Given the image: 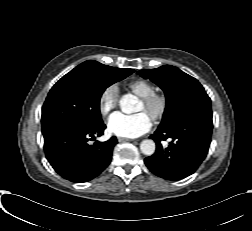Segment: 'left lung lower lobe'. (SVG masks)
<instances>
[{
	"label": "left lung lower lobe",
	"mask_w": 252,
	"mask_h": 231,
	"mask_svg": "<svg viewBox=\"0 0 252 231\" xmlns=\"http://www.w3.org/2000/svg\"><path fill=\"white\" fill-rule=\"evenodd\" d=\"M213 129L212 113L194 112L179 117L150 136L156 152L146 166L159 177L176 180L194 173L207 155ZM169 139L165 148L161 141Z\"/></svg>",
	"instance_id": "left-lung-lower-lobe-1"
}]
</instances>
